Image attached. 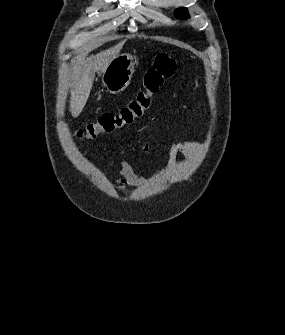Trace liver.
Wrapping results in <instances>:
<instances>
[{"label":"liver","instance_id":"6515ba94","mask_svg":"<svg viewBox=\"0 0 285 335\" xmlns=\"http://www.w3.org/2000/svg\"><path fill=\"white\" fill-rule=\"evenodd\" d=\"M123 42H119L117 46L100 52L96 56H89L86 60L80 62L77 66L73 80L70 84V112L73 118L80 116L92 90L95 72L101 70L105 72L110 62L114 60L115 56H119Z\"/></svg>","mask_w":285,"mask_h":335}]
</instances>
